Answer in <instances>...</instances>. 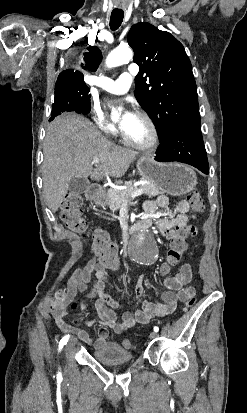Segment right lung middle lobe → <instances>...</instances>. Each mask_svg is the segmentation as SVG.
Returning <instances> with one entry per match:
<instances>
[{"instance_id": "right-lung-middle-lobe-1", "label": "right lung middle lobe", "mask_w": 247, "mask_h": 413, "mask_svg": "<svg viewBox=\"0 0 247 413\" xmlns=\"http://www.w3.org/2000/svg\"><path fill=\"white\" fill-rule=\"evenodd\" d=\"M89 91L84 81L60 82L55 84V99L74 98L91 107Z\"/></svg>"}]
</instances>
